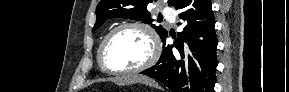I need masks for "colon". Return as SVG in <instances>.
Segmentation results:
<instances>
[{"label": "colon", "instance_id": "5ec220e1", "mask_svg": "<svg viewBox=\"0 0 289 92\" xmlns=\"http://www.w3.org/2000/svg\"><path fill=\"white\" fill-rule=\"evenodd\" d=\"M93 92H97V90H93Z\"/></svg>", "mask_w": 289, "mask_h": 92}]
</instances>
